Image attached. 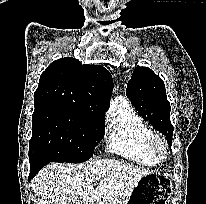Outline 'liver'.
I'll list each match as a JSON object with an SVG mask.
<instances>
[{
	"label": "liver",
	"instance_id": "liver-1",
	"mask_svg": "<svg viewBox=\"0 0 206 204\" xmlns=\"http://www.w3.org/2000/svg\"><path fill=\"white\" fill-rule=\"evenodd\" d=\"M148 173L114 159L53 163L41 169L31 187L38 196L37 204H124L139 179ZM97 178L99 184L94 188Z\"/></svg>",
	"mask_w": 206,
	"mask_h": 204
}]
</instances>
